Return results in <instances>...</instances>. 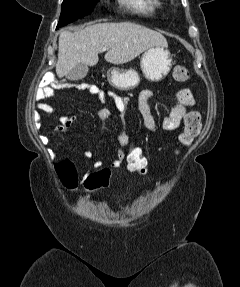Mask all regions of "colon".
I'll return each instance as SVG.
<instances>
[{
    "instance_id": "colon-1",
    "label": "colon",
    "mask_w": 240,
    "mask_h": 287,
    "mask_svg": "<svg viewBox=\"0 0 240 287\" xmlns=\"http://www.w3.org/2000/svg\"><path fill=\"white\" fill-rule=\"evenodd\" d=\"M173 79L183 83L190 79V72L184 66H176L173 70ZM71 88L89 89L91 86L85 83L71 85ZM201 127L200 115L195 111H189L184 118V128L178 136L181 146H189L197 137ZM126 170L135 177H142L148 173V159L144 150L136 144H128L126 149ZM58 177L68 188L75 185L76 170L71 161L65 160L57 164ZM112 183L111 172L101 170L89 174L83 181L86 190L93 193L99 189L109 187Z\"/></svg>"
}]
</instances>
